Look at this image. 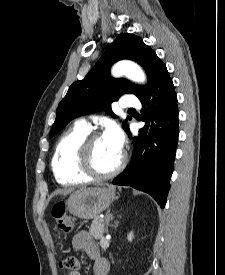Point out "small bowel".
Instances as JSON below:
<instances>
[{
	"instance_id": "small-bowel-1",
	"label": "small bowel",
	"mask_w": 225,
	"mask_h": 275,
	"mask_svg": "<svg viewBox=\"0 0 225 275\" xmlns=\"http://www.w3.org/2000/svg\"><path fill=\"white\" fill-rule=\"evenodd\" d=\"M72 247L76 251L86 253L93 260V274L107 275L108 262L100 257L99 248L90 234L86 231L76 233L72 239ZM68 275H81L80 272H70Z\"/></svg>"
}]
</instances>
